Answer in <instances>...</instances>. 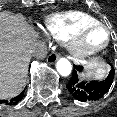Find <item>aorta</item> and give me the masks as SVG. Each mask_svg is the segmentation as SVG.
I'll return each mask as SVG.
<instances>
[{
    "instance_id": "obj_1",
    "label": "aorta",
    "mask_w": 117,
    "mask_h": 117,
    "mask_svg": "<svg viewBox=\"0 0 117 117\" xmlns=\"http://www.w3.org/2000/svg\"><path fill=\"white\" fill-rule=\"evenodd\" d=\"M56 69L61 76H68L72 71V66L66 58H60L56 63Z\"/></svg>"
}]
</instances>
